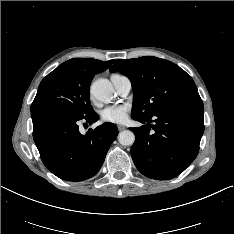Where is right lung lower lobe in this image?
Here are the masks:
<instances>
[{"label":"right lung lower lobe","instance_id":"1","mask_svg":"<svg viewBox=\"0 0 234 234\" xmlns=\"http://www.w3.org/2000/svg\"><path fill=\"white\" fill-rule=\"evenodd\" d=\"M31 116L33 138L44 165L66 181L93 177L118 135L112 123L89 129L85 135L79 132L80 121L91 125L98 120L95 111L77 116L59 109H39L32 111Z\"/></svg>","mask_w":234,"mask_h":234}]
</instances>
